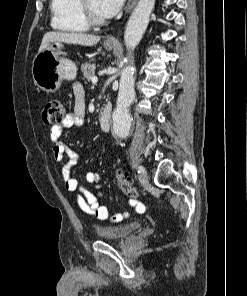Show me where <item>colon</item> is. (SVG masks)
Here are the masks:
<instances>
[{
	"label": "colon",
	"mask_w": 247,
	"mask_h": 296,
	"mask_svg": "<svg viewBox=\"0 0 247 296\" xmlns=\"http://www.w3.org/2000/svg\"><path fill=\"white\" fill-rule=\"evenodd\" d=\"M42 117L47 125H59L65 119V108L58 100L49 101L43 110ZM115 179L121 191L128 197L137 198L139 196L137 190L128 182L121 171L115 173ZM144 207L140 209L143 211Z\"/></svg>",
	"instance_id": "1"
}]
</instances>
